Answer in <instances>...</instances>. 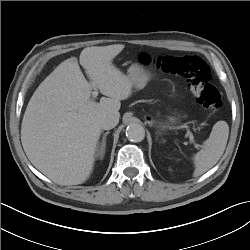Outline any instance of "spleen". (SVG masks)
I'll return each instance as SVG.
<instances>
[{"mask_svg":"<svg viewBox=\"0 0 250 250\" xmlns=\"http://www.w3.org/2000/svg\"><path fill=\"white\" fill-rule=\"evenodd\" d=\"M229 135V126L225 121L214 124L203 148L194 155V177H198L212 168L224 153Z\"/></svg>","mask_w":250,"mask_h":250,"instance_id":"3e777b00","label":"spleen"}]
</instances>
